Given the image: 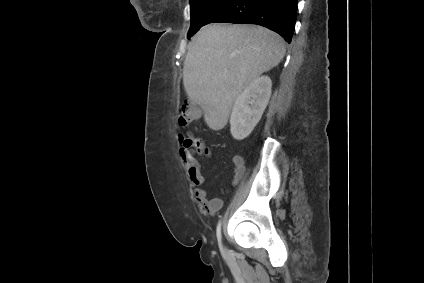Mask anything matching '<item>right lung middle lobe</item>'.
<instances>
[{"mask_svg":"<svg viewBox=\"0 0 424 283\" xmlns=\"http://www.w3.org/2000/svg\"><path fill=\"white\" fill-rule=\"evenodd\" d=\"M229 0H190L191 27L188 32L190 37L195 34L207 21ZM189 39V38H188Z\"/></svg>","mask_w":424,"mask_h":283,"instance_id":"dd1d6c3e","label":"right lung middle lobe"}]
</instances>
